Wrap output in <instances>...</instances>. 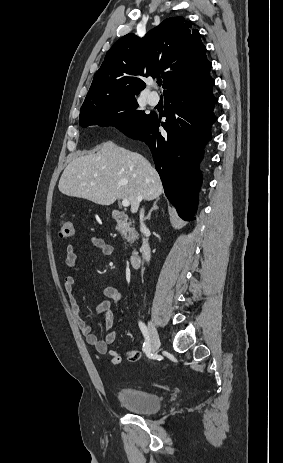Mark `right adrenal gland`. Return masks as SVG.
<instances>
[{
  "mask_svg": "<svg viewBox=\"0 0 283 463\" xmlns=\"http://www.w3.org/2000/svg\"><path fill=\"white\" fill-rule=\"evenodd\" d=\"M158 201H159V198H157L154 201L152 208L150 209L148 215L146 216V220H149L151 218V214H152L153 211L158 210V208H159L158 205H157Z\"/></svg>",
  "mask_w": 283,
  "mask_h": 463,
  "instance_id": "obj_1",
  "label": "right adrenal gland"
}]
</instances>
